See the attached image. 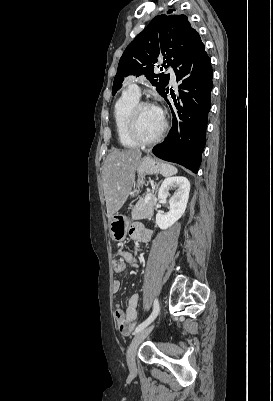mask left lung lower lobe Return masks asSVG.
Segmentation results:
<instances>
[{"instance_id":"left-lung-lower-lobe-1","label":"left lung lower lobe","mask_w":273,"mask_h":401,"mask_svg":"<svg viewBox=\"0 0 273 401\" xmlns=\"http://www.w3.org/2000/svg\"><path fill=\"white\" fill-rule=\"evenodd\" d=\"M179 85L178 101L167 100L173 113V125L165 140L152 152L159 158L175 162L197 173L206 144V127L211 108L213 71L211 60L201 39L187 49L172 65Z\"/></svg>"}]
</instances>
